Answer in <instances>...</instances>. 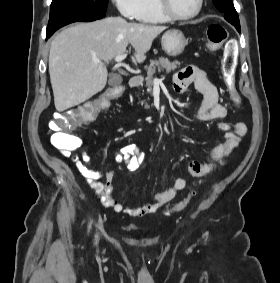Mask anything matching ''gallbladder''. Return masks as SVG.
Wrapping results in <instances>:
<instances>
[{"label": "gallbladder", "instance_id": "bac80fb5", "mask_svg": "<svg viewBox=\"0 0 280 283\" xmlns=\"http://www.w3.org/2000/svg\"><path fill=\"white\" fill-rule=\"evenodd\" d=\"M121 82H122V77L120 75L115 73H110L108 80L109 86L116 87L119 86Z\"/></svg>", "mask_w": 280, "mask_h": 283}]
</instances>
